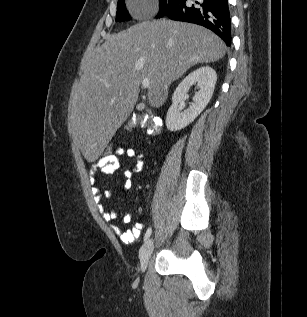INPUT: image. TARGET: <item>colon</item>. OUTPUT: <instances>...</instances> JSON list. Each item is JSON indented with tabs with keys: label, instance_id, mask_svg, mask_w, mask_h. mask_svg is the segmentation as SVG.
<instances>
[{
	"label": "colon",
	"instance_id": "colon-1",
	"mask_svg": "<svg viewBox=\"0 0 307 317\" xmlns=\"http://www.w3.org/2000/svg\"><path fill=\"white\" fill-rule=\"evenodd\" d=\"M136 127H141L149 135H157L160 132L161 123L151 118L133 117L126 125V130L131 133ZM121 147L113 144H107L100 155L99 159H111L118 155Z\"/></svg>",
	"mask_w": 307,
	"mask_h": 317
}]
</instances>
